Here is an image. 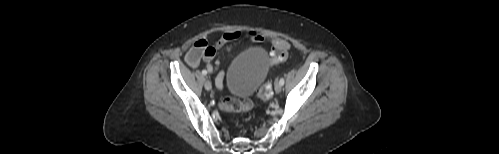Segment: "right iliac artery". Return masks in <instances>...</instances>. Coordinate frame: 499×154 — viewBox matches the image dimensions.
<instances>
[{
  "mask_svg": "<svg viewBox=\"0 0 499 154\" xmlns=\"http://www.w3.org/2000/svg\"><path fill=\"white\" fill-rule=\"evenodd\" d=\"M202 74H203V75H206V74H207V71H206V70H203V71H202Z\"/></svg>",
  "mask_w": 499,
  "mask_h": 154,
  "instance_id": "right-iliac-artery-1",
  "label": "right iliac artery"
}]
</instances>
